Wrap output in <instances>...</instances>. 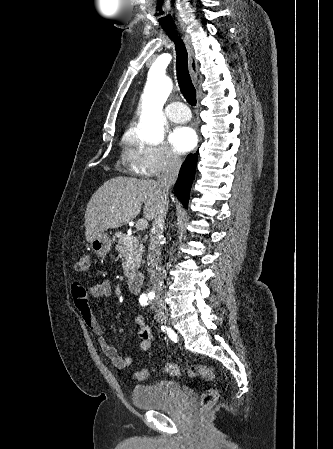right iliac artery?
Segmentation results:
<instances>
[{
	"instance_id": "obj_1",
	"label": "right iliac artery",
	"mask_w": 333,
	"mask_h": 449,
	"mask_svg": "<svg viewBox=\"0 0 333 449\" xmlns=\"http://www.w3.org/2000/svg\"><path fill=\"white\" fill-rule=\"evenodd\" d=\"M149 299H153V296H150ZM148 298L146 296H141L139 302L142 306H146Z\"/></svg>"
}]
</instances>
